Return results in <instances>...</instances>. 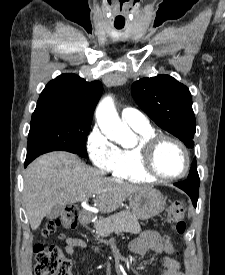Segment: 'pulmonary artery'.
Returning <instances> with one entry per match:
<instances>
[{
  "mask_svg": "<svg viewBox=\"0 0 225 275\" xmlns=\"http://www.w3.org/2000/svg\"><path fill=\"white\" fill-rule=\"evenodd\" d=\"M121 118L131 127H148L149 121L140 111L127 107L121 112Z\"/></svg>",
  "mask_w": 225,
  "mask_h": 275,
  "instance_id": "e3ab8cb5",
  "label": "pulmonary artery"
}]
</instances>
